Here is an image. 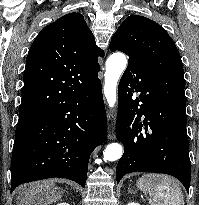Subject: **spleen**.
Instances as JSON below:
<instances>
[{
  "label": "spleen",
  "mask_w": 199,
  "mask_h": 205,
  "mask_svg": "<svg viewBox=\"0 0 199 205\" xmlns=\"http://www.w3.org/2000/svg\"><path fill=\"white\" fill-rule=\"evenodd\" d=\"M137 187L151 197V205H184L178 183L162 174H144L137 180Z\"/></svg>",
  "instance_id": "obj_1"
}]
</instances>
